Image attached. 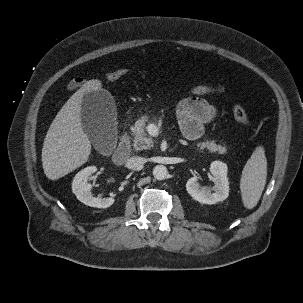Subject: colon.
Instances as JSON below:
<instances>
[{"instance_id": "1", "label": "colon", "mask_w": 303, "mask_h": 303, "mask_svg": "<svg viewBox=\"0 0 303 303\" xmlns=\"http://www.w3.org/2000/svg\"><path fill=\"white\" fill-rule=\"evenodd\" d=\"M128 72V69L121 68L114 70L106 75V80L108 82H115L121 77H123ZM234 118L243 126L250 127L252 122L246 113V111L238 104H234L231 108Z\"/></svg>"}]
</instances>
